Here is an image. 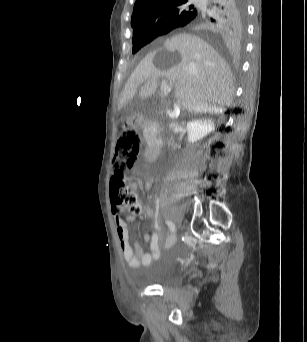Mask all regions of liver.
<instances>
[{
  "label": "liver",
  "instance_id": "liver-1",
  "mask_svg": "<svg viewBox=\"0 0 307 342\" xmlns=\"http://www.w3.org/2000/svg\"><path fill=\"white\" fill-rule=\"evenodd\" d=\"M158 78L173 82L177 104L194 114H218L232 102L234 86L228 64L210 44L192 34L168 38L144 56L125 84L118 110L136 94L142 100L154 96Z\"/></svg>",
  "mask_w": 307,
  "mask_h": 342
}]
</instances>
